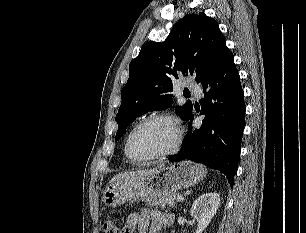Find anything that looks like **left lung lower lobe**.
Instances as JSON below:
<instances>
[{"label":"left lung lower lobe","mask_w":306,"mask_h":233,"mask_svg":"<svg viewBox=\"0 0 306 233\" xmlns=\"http://www.w3.org/2000/svg\"><path fill=\"white\" fill-rule=\"evenodd\" d=\"M201 85L205 98L201 102L200 114H205V118L199 129L189 131L180 152L170 156L169 160L189 159L203 163L225 174L233 187L244 130L245 103L230 51Z\"/></svg>","instance_id":"left-lung-lower-lobe-1"}]
</instances>
